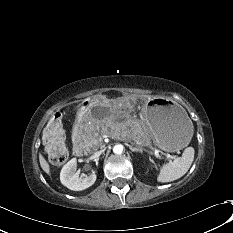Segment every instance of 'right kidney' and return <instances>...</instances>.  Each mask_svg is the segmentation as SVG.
<instances>
[{"label": "right kidney", "instance_id": "obj_1", "mask_svg": "<svg viewBox=\"0 0 233 233\" xmlns=\"http://www.w3.org/2000/svg\"><path fill=\"white\" fill-rule=\"evenodd\" d=\"M77 159L73 158L67 162L61 172L60 181L61 183L74 191H81L92 186L96 181V174L93 172L91 175L81 178L76 172Z\"/></svg>", "mask_w": 233, "mask_h": 233}]
</instances>
